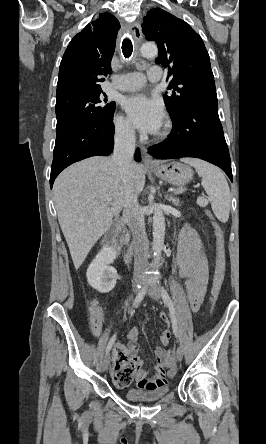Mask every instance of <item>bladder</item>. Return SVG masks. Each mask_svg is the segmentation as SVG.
Listing matches in <instances>:
<instances>
[{"label": "bladder", "instance_id": "obj_1", "mask_svg": "<svg viewBox=\"0 0 266 444\" xmlns=\"http://www.w3.org/2000/svg\"><path fill=\"white\" fill-rule=\"evenodd\" d=\"M169 392V386L155 389H136L131 388L125 391L126 398L131 400L155 401L163 398Z\"/></svg>", "mask_w": 266, "mask_h": 444}]
</instances>
